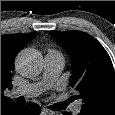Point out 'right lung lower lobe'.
<instances>
[{
	"mask_svg": "<svg viewBox=\"0 0 115 115\" xmlns=\"http://www.w3.org/2000/svg\"><path fill=\"white\" fill-rule=\"evenodd\" d=\"M40 112V106L33 102H28L26 105L11 102L1 107V115H37Z\"/></svg>",
	"mask_w": 115,
	"mask_h": 115,
	"instance_id": "right-lung-lower-lobe-1",
	"label": "right lung lower lobe"
}]
</instances>
